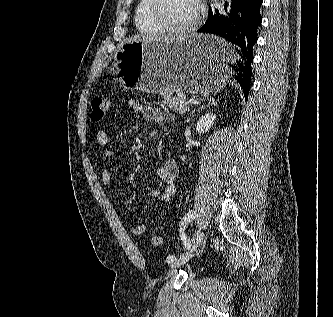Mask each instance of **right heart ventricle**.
I'll use <instances>...</instances> for the list:
<instances>
[{
    "label": "right heart ventricle",
    "instance_id": "obj_1",
    "mask_svg": "<svg viewBox=\"0 0 333 317\" xmlns=\"http://www.w3.org/2000/svg\"><path fill=\"white\" fill-rule=\"evenodd\" d=\"M149 0H139L135 9V24L137 30L145 35H158L162 33L154 22L151 20L148 13Z\"/></svg>",
    "mask_w": 333,
    "mask_h": 317
}]
</instances>
